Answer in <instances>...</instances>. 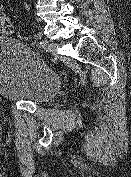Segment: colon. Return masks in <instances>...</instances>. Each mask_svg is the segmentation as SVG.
<instances>
[{
    "mask_svg": "<svg viewBox=\"0 0 131 177\" xmlns=\"http://www.w3.org/2000/svg\"><path fill=\"white\" fill-rule=\"evenodd\" d=\"M12 31L10 19L0 6V33L9 34Z\"/></svg>",
    "mask_w": 131,
    "mask_h": 177,
    "instance_id": "1",
    "label": "colon"
}]
</instances>
